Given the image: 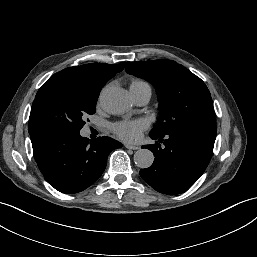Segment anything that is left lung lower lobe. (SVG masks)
I'll list each match as a JSON object with an SVG mask.
<instances>
[{
  "instance_id": "left-lung-lower-lobe-1",
  "label": "left lung lower lobe",
  "mask_w": 257,
  "mask_h": 257,
  "mask_svg": "<svg viewBox=\"0 0 257 257\" xmlns=\"http://www.w3.org/2000/svg\"><path fill=\"white\" fill-rule=\"evenodd\" d=\"M216 124H198L178 128L165 135L150 137L156 142L144 145L154 153L153 164L140 170L141 177L155 190L176 195L188 190L204 173L213 152ZM165 138V139H163Z\"/></svg>"
}]
</instances>
